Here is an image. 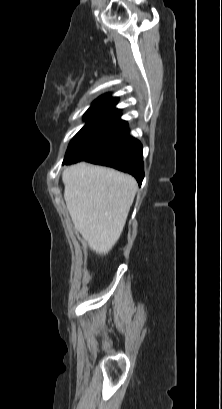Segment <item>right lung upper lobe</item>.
I'll return each mask as SVG.
<instances>
[{
	"label": "right lung upper lobe",
	"instance_id": "right-lung-upper-lobe-1",
	"mask_svg": "<svg viewBox=\"0 0 222 409\" xmlns=\"http://www.w3.org/2000/svg\"><path fill=\"white\" fill-rule=\"evenodd\" d=\"M117 102V98H112L109 94H105L99 97L95 102L92 104L90 109L94 108H113Z\"/></svg>",
	"mask_w": 222,
	"mask_h": 409
}]
</instances>
